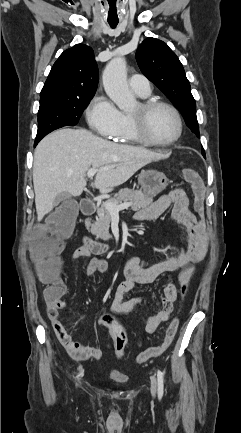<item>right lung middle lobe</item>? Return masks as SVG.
<instances>
[{
    "instance_id": "1",
    "label": "right lung middle lobe",
    "mask_w": 241,
    "mask_h": 433,
    "mask_svg": "<svg viewBox=\"0 0 241 433\" xmlns=\"http://www.w3.org/2000/svg\"><path fill=\"white\" fill-rule=\"evenodd\" d=\"M92 98H48L40 101L35 144L55 129L76 125Z\"/></svg>"
}]
</instances>
